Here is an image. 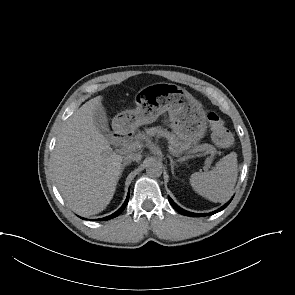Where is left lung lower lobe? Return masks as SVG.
<instances>
[{"instance_id": "1", "label": "left lung lower lobe", "mask_w": 295, "mask_h": 295, "mask_svg": "<svg viewBox=\"0 0 295 295\" xmlns=\"http://www.w3.org/2000/svg\"><path fill=\"white\" fill-rule=\"evenodd\" d=\"M168 200H169L170 204L173 206V208L176 211H178L180 214L187 215V216H192V217H202V216H208V215L215 214V213L225 209L228 206V204L231 202L232 199L228 203H226L224 206L219 208L218 210H216L214 212H211V213H204V214H197V213L188 212V211L183 210L182 208H180L177 204H175L170 197H168Z\"/></svg>"}]
</instances>
